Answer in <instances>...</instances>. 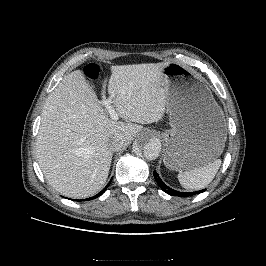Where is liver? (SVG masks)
<instances>
[{
	"instance_id": "obj_1",
	"label": "liver",
	"mask_w": 266,
	"mask_h": 266,
	"mask_svg": "<svg viewBox=\"0 0 266 266\" xmlns=\"http://www.w3.org/2000/svg\"><path fill=\"white\" fill-rule=\"evenodd\" d=\"M168 63L111 66L108 94L118 115L109 118L83 71L66 75L46 99L36 143L40 168L57 192L87 198L106 183L112 160L108 141L122 136L128 145L143 124L162 119Z\"/></svg>"
}]
</instances>
